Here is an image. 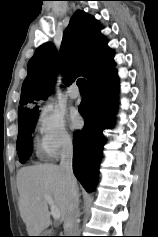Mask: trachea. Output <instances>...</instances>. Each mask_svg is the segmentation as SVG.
<instances>
[{"instance_id":"obj_1","label":"trachea","mask_w":158,"mask_h":237,"mask_svg":"<svg viewBox=\"0 0 158 237\" xmlns=\"http://www.w3.org/2000/svg\"><path fill=\"white\" fill-rule=\"evenodd\" d=\"M77 86L79 88L80 91H86V86H85V79L84 78H80L77 80Z\"/></svg>"}]
</instances>
